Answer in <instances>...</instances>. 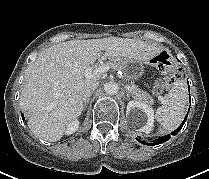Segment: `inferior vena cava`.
<instances>
[{
    "label": "inferior vena cava",
    "mask_w": 209,
    "mask_h": 179,
    "mask_svg": "<svg viewBox=\"0 0 209 179\" xmlns=\"http://www.w3.org/2000/svg\"><path fill=\"white\" fill-rule=\"evenodd\" d=\"M99 83L94 82L93 84L90 85V87L85 91L83 94V100L86 102L89 100L90 95L93 93V91L98 87Z\"/></svg>",
    "instance_id": "obj_1"
}]
</instances>
